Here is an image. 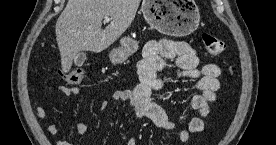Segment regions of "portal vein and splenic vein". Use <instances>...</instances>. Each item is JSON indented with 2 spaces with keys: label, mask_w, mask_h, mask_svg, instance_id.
Returning a JSON list of instances; mask_svg holds the SVG:
<instances>
[{
  "label": "portal vein and splenic vein",
  "mask_w": 276,
  "mask_h": 145,
  "mask_svg": "<svg viewBox=\"0 0 276 145\" xmlns=\"http://www.w3.org/2000/svg\"><path fill=\"white\" fill-rule=\"evenodd\" d=\"M104 20H105L106 22H108V21H110V20H111V18H110V17H108V16H106V17L104 18Z\"/></svg>",
  "instance_id": "18ae733b"
}]
</instances>
